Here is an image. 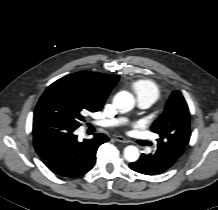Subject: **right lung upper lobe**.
Instances as JSON below:
<instances>
[{
  "instance_id": "obj_1",
  "label": "right lung upper lobe",
  "mask_w": 218,
  "mask_h": 210,
  "mask_svg": "<svg viewBox=\"0 0 218 210\" xmlns=\"http://www.w3.org/2000/svg\"><path fill=\"white\" fill-rule=\"evenodd\" d=\"M119 76L82 71L69 74L56 81L65 89L86 98L94 107L102 108Z\"/></svg>"
}]
</instances>
